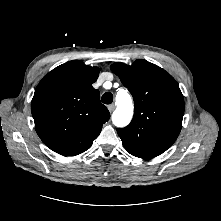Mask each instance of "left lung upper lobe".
<instances>
[{"instance_id":"obj_1","label":"left lung upper lobe","mask_w":221,"mask_h":221,"mask_svg":"<svg viewBox=\"0 0 221 221\" xmlns=\"http://www.w3.org/2000/svg\"><path fill=\"white\" fill-rule=\"evenodd\" d=\"M110 68L134 98L133 120L117 129L125 149L139 158L160 155L181 131L184 99L178 83L165 70L143 59L131 66L116 62Z\"/></svg>"}]
</instances>
